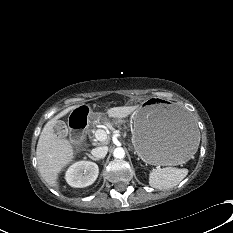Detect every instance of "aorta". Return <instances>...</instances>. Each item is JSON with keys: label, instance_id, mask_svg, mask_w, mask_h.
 <instances>
[{"label": "aorta", "instance_id": "obj_1", "mask_svg": "<svg viewBox=\"0 0 233 233\" xmlns=\"http://www.w3.org/2000/svg\"><path fill=\"white\" fill-rule=\"evenodd\" d=\"M113 156L117 159H122L125 157V151L123 148L118 147L116 149H114L113 151Z\"/></svg>", "mask_w": 233, "mask_h": 233}]
</instances>
